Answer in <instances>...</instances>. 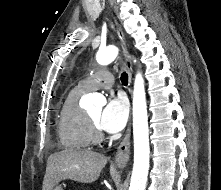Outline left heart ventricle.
Listing matches in <instances>:
<instances>
[{"label": "left heart ventricle", "instance_id": "b2bd125f", "mask_svg": "<svg viewBox=\"0 0 221 190\" xmlns=\"http://www.w3.org/2000/svg\"><path fill=\"white\" fill-rule=\"evenodd\" d=\"M91 119L98 124L100 115H101V108H95L89 113Z\"/></svg>", "mask_w": 221, "mask_h": 190}]
</instances>
